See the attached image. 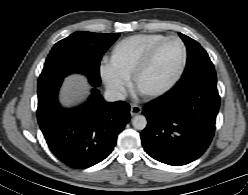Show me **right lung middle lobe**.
Returning <instances> with one entry per match:
<instances>
[{
  "label": "right lung middle lobe",
  "instance_id": "dd1d6c3e",
  "mask_svg": "<svg viewBox=\"0 0 248 195\" xmlns=\"http://www.w3.org/2000/svg\"><path fill=\"white\" fill-rule=\"evenodd\" d=\"M119 34L78 31L59 41L50 51L38 80V88L71 73H81L100 85L99 66L104 52Z\"/></svg>",
  "mask_w": 248,
  "mask_h": 195
}]
</instances>
